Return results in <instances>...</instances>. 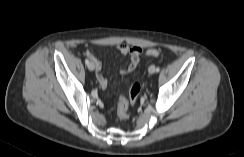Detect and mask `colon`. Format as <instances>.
<instances>
[{"mask_svg": "<svg viewBox=\"0 0 244 157\" xmlns=\"http://www.w3.org/2000/svg\"><path fill=\"white\" fill-rule=\"evenodd\" d=\"M161 51L159 49H149L146 54L151 57L159 56ZM141 91V86L139 83H134L129 89V97H121L118 102L117 115L121 120H125L128 117V109L130 105H133Z\"/></svg>", "mask_w": 244, "mask_h": 157, "instance_id": "1", "label": "colon"}]
</instances>
